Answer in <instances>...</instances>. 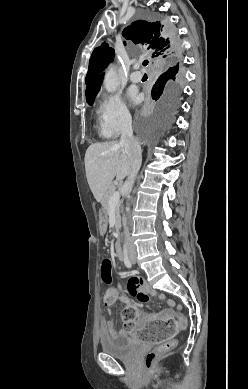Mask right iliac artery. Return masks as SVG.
I'll use <instances>...</instances> for the list:
<instances>
[{
  "mask_svg": "<svg viewBox=\"0 0 248 389\" xmlns=\"http://www.w3.org/2000/svg\"><path fill=\"white\" fill-rule=\"evenodd\" d=\"M124 264H125L126 267H128V268H131V267H132L131 261L129 260V258H128L127 255L124 256Z\"/></svg>",
  "mask_w": 248,
  "mask_h": 389,
  "instance_id": "obj_1",
  "label": "right iliac artery"
}]
</instances>
